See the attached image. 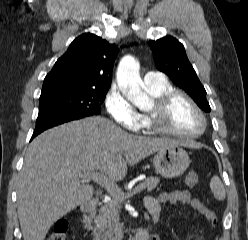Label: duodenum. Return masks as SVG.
Instances as JSON below:
<instances>
[{
  "label": "duodenum",
  "instance_id": "1",
  "mask_svg": "<svg viewBox=\"0 0 248 240\" xmlns=\"http://www.w3.org/2000/svg\"><path fill=\"white\" fill-rule=\"evenodd\" d=\"M98 205V201L95 199H89L86 200L81 204V212L83 214H90L92 213ZM150 239V234H149V228L148 227H143L141 228L131 240H149Z\"/></svg>",
  "mask_w": 248,
  "mask_h": 240
}]
</instances>
